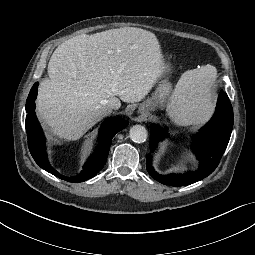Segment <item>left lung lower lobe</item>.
<instances>
[{"instance_id": "1", "label": "left lung lower lobe", "mask_w": 255, "mask_h": 255, "mask_svg": "<svg viewBox=\"0 0 255 255\" xmlns=\"http://www.w3.org/2000/svg\"><path fill=\"white\" fill-rule=\"evenodd\" d=\"M233 128V110L226 92L220 91L216 111L211 120L195 135L192 150L200 161L199 169L183 174L161 175L154 171L150 154L146 157V168L149 174L162 184L172 186L190 185L211 174L218 166L228 145ZM164 137L158 126H153L151 132V151Z\"/></svg>"}]
</instances>
